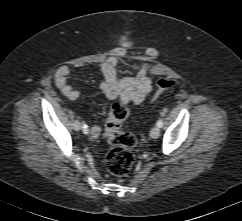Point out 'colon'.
<instances>
[{
	"instance_id": "5ec220e1",
	"label": "colon",
	"mask_w": 242,
	"mask_h": 221,
	"mask_svg": "<svg viewBox=\"0 0 242 221\" xmlns=\"http://www.w3.org/2000/svg\"><path fill=\"white\" fill-rule=\"evenodd\" d=\"M176 82L161 78L157 83V94L172 88ZM129 115V108L123 101H116L106 120L105 133L110 145L106 156V166L114 176H125L131 170L134 157L132 148L136 144L135 136L123 129V122Z\"/></svg>"
}]
</instances>
